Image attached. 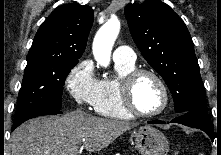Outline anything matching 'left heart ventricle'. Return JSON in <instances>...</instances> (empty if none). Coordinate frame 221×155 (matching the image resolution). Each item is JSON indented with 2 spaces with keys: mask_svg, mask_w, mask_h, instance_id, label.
<instances>
[{
  "mask_svg": "<svg viewBox=\"0 0 221 155\" xmlns=\"http://www.w3.org/2000/svg\"><path fill=\"white\" fill-rule=\"evenodd\" d=\"M134 101L143 112L157 111L163 103V94L158 83L150 76H142L134 87Z\"/></svg>",
  "mask_w": 221,
  "mask_h": 155,
  "instance_id": "b2bd125f",
  "label": "left heart ventricle"
}]
</instances>
